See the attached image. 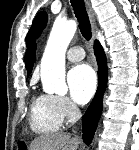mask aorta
Instances as JSON below:
<instances>
[{
  "instance_id": "1",
  "label": "aorta",
  "mask_w": 139,
  "mask_h": 150,
  "mask_svg": "<svg viewBox=\"0 0 139 150\" xmlns=\"http://www.w3.org/2000/svg\"><path fill=\"white\" fill-rule=\"evenodd\" d=\"M77 29L74 20H56L50 33L42 60L41 81L47 93L65 95V53Z\"/></svg>"
}]
</instances>
